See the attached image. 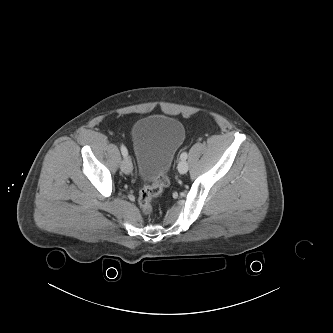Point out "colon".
<instances>
[{
	"instance_id": "colon-1",
	"label": "colon",
	"mask_w": 333,
	"mask_h": 333,
	"mask_svg": "<svg viewBox=\"0 0 333 333\" xmlns=\"http://www.w3.org/2000/svg\"><path fill=\"white\" fill-rule=\"evenodd\" d=\"M169 185V179L166 174L160 175L150 185L145 186L139 192L138 203L141 211L149 215L153 210V200L159 196Z\"/></svg>"
}]
</instances>
